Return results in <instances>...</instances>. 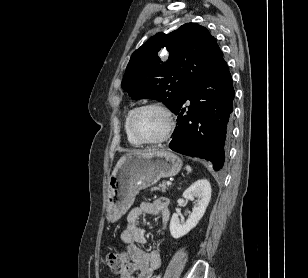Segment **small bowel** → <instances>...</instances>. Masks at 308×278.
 Here are the masks:
<instances>
[{"label":"small bowel","mask_w":308,"mask_h":278,"mask_svg":"<svg viewBox=\"0 0 308 278\" xmlns=\"http://www.w3.org/2000/svg\"><path fill=\"white\" fill-rule=\"evenodd\" d=\"M142 215H153L162 221V230L169 219V200L165 197L154 202H143L139 207L132 208L127 215V226L120 238L126 245L129 262L120 278H153L154 272L160 267V248L157 244L151 252L142 248L146 242L145 231L140 226Z\"/></svg>","instance_id":"1"}]
</instances>
